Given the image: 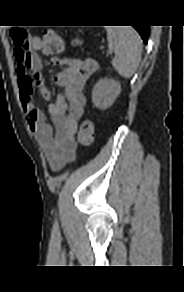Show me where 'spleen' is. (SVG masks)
Wrapping results in <instances>:
<instances>
[{
    "instance_id": "1",
    "label": "spleen",
    "mask_w": 184,
    "mask_h": 292,
    "mask_svg": "<svg viewBox=\"0 0 184 292\" xmlns=\"http://www.w3.org/2000/svg\"><path fill=\"white\" fill-rule=\"evenodd\" d=\"M108 47L114 51V69L124 78L136 72L142 53V41L132 27H107Z\"/></svg>"
}]
</instances>
